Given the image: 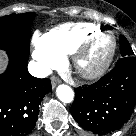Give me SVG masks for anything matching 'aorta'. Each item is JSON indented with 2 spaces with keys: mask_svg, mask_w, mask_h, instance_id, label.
I'll list each match as a JSON object with an SVG mask.
<instances>
[{
  "mask_svg": "<svg viewBox=\"0 0 136 136\" xmlns=\"http://www.w3.org/2000/svg\"><path fill=\"white\" fill-rule=\"evenodd\" d=\"M58 99L63 103H70L74 99V92L68 85H59L56 89Z\"/></svg>",
  "mask_w": 136,
  "mask_h": 136,
  "instance_id": "762f6f07",
  "label": "aorta"
}]
</instances>
